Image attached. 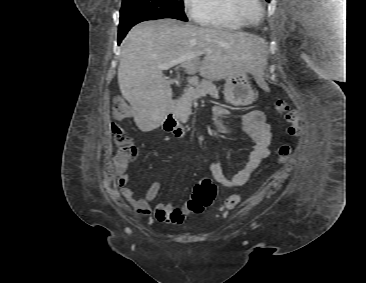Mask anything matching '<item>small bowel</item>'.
<instances>
[{"label": "small bowel", "instance_id": "obj_1", "mask_svg": "<svg viewBox=\"0 0 366 283\" xmlns=\"http://www.w3.org/2000/svg\"><path fill=\"white\" fill-rule=\"evenodd\" d=\"M227 110L221 106L214 107V123L220 132H231L224 123ZM239 130L246 133L253 141V148L245 165L231 177L224 174L219 163H211L210 172L213 178L224 187H241L249 180L253 171L259 166L261 161L269 155V145L271 141V127L266 122L263 111L253 110L241 117ZM115 173L117 184L122 196L142 215H152L162 223L180 224L186 215L189 214L187 206L174 207L172 204L158 203L151 209L149 203L153 201L161 187L158 179L152 181L145 196L138 198L135 191L128 187L130 176L127 173V166H120L115 163Z\"/></svg>", "mask_w": 366, "mask_h": 283}]
</instances>
